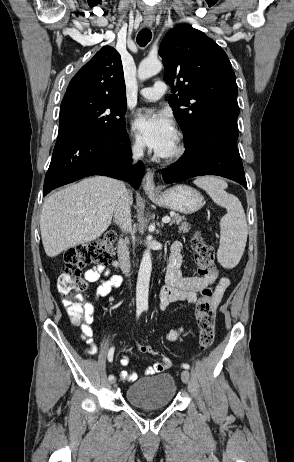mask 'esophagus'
Listing matches in <instances>:
<instances>
[{
  "instance_id": "1",
  "label": "esophagus",
  "mask_w": 294,
  "mask_h": 462,
  "mask_svg": "<svg viewBox=\"0 0 294 462\" xmlns=\"http://www.w3.org/2000/svg\"><path fill=\"white\" fill-rule=\"evenodd\" d=\"M152 25V22L146 21L144 22L145 27H149ZM142 187L146 192H154L155 191V183H154V173L148 169L143 181H142Z\"/></svg>"
}]
</instances>
